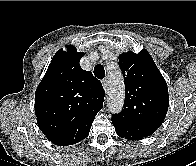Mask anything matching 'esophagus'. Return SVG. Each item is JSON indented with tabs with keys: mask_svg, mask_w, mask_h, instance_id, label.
I'll use <instances>...</instances> for the list:
<instances>
[{
	"mask_svg": "<svg viewBox=\"0 0 196 166\" xmlns=\"http://www.w3.org/2000/svg\"><path fill=\"white\" fill-rule=\"evenodd\" d=\"M102 86H103L104 89L107 88V79H106V78H104V79L102 80Z\"/></svg>",
	"mask_w": 196,
	"mask_h": 166,
	"instance_id": "1",
	"label": "esophagus"
}]
</instances>
